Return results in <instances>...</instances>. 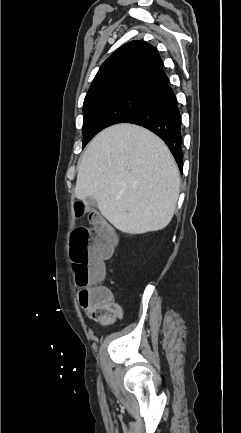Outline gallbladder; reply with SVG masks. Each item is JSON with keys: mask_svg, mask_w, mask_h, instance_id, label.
Returning <instances> with one entry per match:
<instances>
[{"mask_svg": "<svg viewBox=\"0 0 241 433\" xmlns=\"http://www.w3.org/2000/svg\"><path fill=\"white\" fill-rule=\"evenodd\" d=\"M86 205L88 206H95L96 200L93 197H87L85 200Z\"/></svg>", "mask_w": 241, "mask_h": 433, "instance_id": "gallbladder-1", "label": "gallbladder"}]
</instances>
